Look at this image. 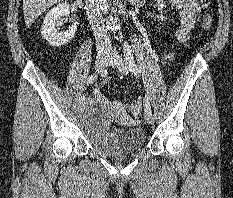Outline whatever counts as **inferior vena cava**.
<instances>
[{"mask_svg": "<svg viewBox=\"0 0 233 198\" xmlns=\"http://www.w3.org/2000/svg\"><path fill=\"white\" fill-rule=\"evenodd\" d=\"M85 8L88 20L94 30L97 50L109 51L111 49V44L103 26L101 0H86Z\"/></svg>", "mask_w": 233, "mask_h": 198, "instance_id": "inferior-vena-cava-1", "label": "inferior vena cava"}]
</instances>
